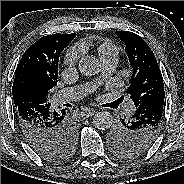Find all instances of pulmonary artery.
<instances>
[{
  "mask_svg": "<svg viewBox=\"0 0 184 184\" xmlns=\"http://www.w3.org/2000/svg\"><path fill=\"white\" fill-rule=\"evenodd\" d=\"M117 64H118L117 59H110V60L103 61L104 73L99 80H97L93 84L61 89L54 94L53 102L55 104H62L66 102H72L84 97L86 94H88L97 86L98 82L101 81L103 77L113 72L116 69ZM134 111H135V106L132 103H129L127 105V112L131 114Z\"/></svg>",
  "mask_w": 184,
  "mask_h": 184,
  "instance_id": "pulmonary-artery-1",
  "label": "pulmonary artery"
}]
</instances>
